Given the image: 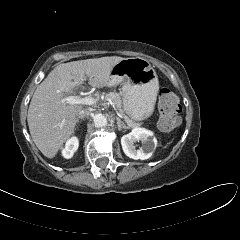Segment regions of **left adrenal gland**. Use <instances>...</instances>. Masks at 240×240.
<instances>
[{"instance_id": "a2214340", "label": "left adrenal gland", "mask_w": 240, "mask_h": 240, "mask_svg": "<svg viewBox=\"0 0 240 240\" xmlns=\"http://www.w3.org/2000/svg\"><path fill=\"white\" fill-rule=\"evenodd\" d=\"M116 120H117V126L119 131H121L122 129H129V127L126 126L125 123L121 121L118 117L116 118Z\"/></svg>"}]
</instances>
